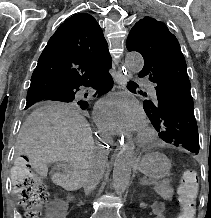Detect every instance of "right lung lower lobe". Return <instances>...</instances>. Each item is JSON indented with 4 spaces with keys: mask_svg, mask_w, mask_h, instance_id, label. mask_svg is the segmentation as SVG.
I'll return each mask as SVG.
<instances>
[{
    "mask_svg": "<svg viewBox=\"0 0 211 218\" xmlns=\"http://www.w3.org/2000/svg\"><path fill=\"white\" fill-rule=\"evenodd\" d=\"M111 68V63L101 67L91 78L72 84L64 92L72 93L75 95L80 86H92L97 89L99 95L107 93L113 86V79L108 70Z\"/></svg>",
    "mask_w": 211,
    "mask_h": 218,
    "instance_id": "98d812e1",
    "label": "right lung lower lobe"
}]
</instances>
